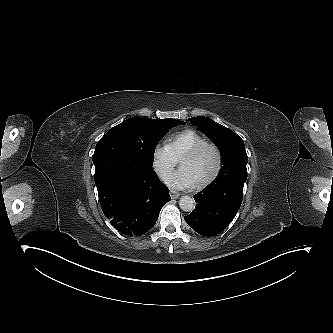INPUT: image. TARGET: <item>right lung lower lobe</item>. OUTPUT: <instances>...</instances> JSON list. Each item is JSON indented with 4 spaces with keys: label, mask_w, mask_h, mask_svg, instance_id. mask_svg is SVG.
I'll return each instance as SVG.
<instances>
[{
    "label": "right lung lower lobe",
    "mask_w": 333,
    "mask_h": 333,
    "mask_svg": "<svg viewBox=\"0 0 333 333\" xmlns=\"http://www.w3.org/2000/svg\"><path fill=\"white\" fill-rule=\"evenodd\" d=\"M92 159L100 205L110 223L128 236L149 231L171 200L152 167L114 138L102 137Z\"/></svg>",
    "instance_id": "98d812e1"
}]
</instances>
